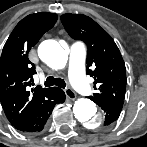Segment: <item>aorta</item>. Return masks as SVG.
<instances>
[{
    "label": "aorta",
    "instance_id": "obj_1",
    "mask_svg": "<svg viewBox=\"0 0 147 147\" xmlns=\"http://www.w3.org/2000/svg\"><path fill=\"white\" fill-rule=\"evenodd\" d=\"M38 54L43 62L56 70L64 68L68 59L65 50L54 40L43 41L38 48ZM73 112L75 118L87 128H95L104 120L103 114L98 113L96 104L87 98L77 99Z\"/></svg>",
    "mask_w": 147,
    "mask_h": 147
}]
</instances>
